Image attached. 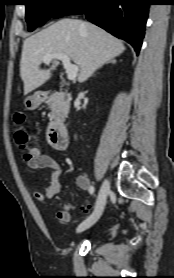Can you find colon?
Listing matches in <instances>:
<instances>
[{
	"label": "colon",
	"instance_id": "1",
	"mask_svg": "<svg viewBox=\"0 0 174 278\" xmlns=\"http://www.w3.org/2000/svg\"><path fill=\"white\" fill-rule=\"evenodd\" d=\"M15 121L18 124H22L25 121V115L23 113H17L15 116ZM15 139L23 152L24 161H31L38 156L39 150L37 148L28 146V135L22 128L16 132Z\"/></svg>",
	"mask_w": 174,
	"mask_h": 278
}]
</instances>
